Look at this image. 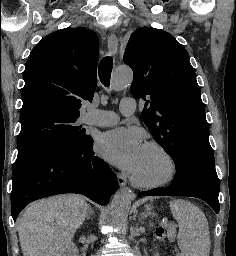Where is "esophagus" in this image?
Masks as SVG:
<instances>
[{"mask_svg":"<svg viewBox=\"0 0 236 256\" xmlns=\"http://www.w3.org/2000/svg\"><path fill=\"white\" fill-rule=\"evenodd\" d=\"M118 49V40L114 33H112L108 38V51L111 55H116ZM117 180L120 186H125L127 183L126 177L121 174L117 175Z\"/></svg>","mask_w":236,"mask_h":256,"instance_id":"obj_1","label":"esophagus"}]
</instances>
